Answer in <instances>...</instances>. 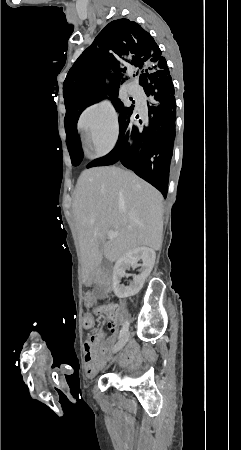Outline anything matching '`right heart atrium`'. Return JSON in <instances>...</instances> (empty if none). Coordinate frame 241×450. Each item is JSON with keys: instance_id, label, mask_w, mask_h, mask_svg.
Returning a JSON list of instances; mask_svg holds the SVG:
<instances>
[{"instance_id": "obj_1", "label": "right heart atrium", "mask_w": 241, "mask_h": 450, "mask_svg": "<svg viewBox=\"0 0 241 450\" xmlns=\"http://www.w3.org/2000/svg\"><path fill=\"white\" fill-rule=\"evenodd\" d=\"M85 127V142L88 153L93 157H102L113 149L119 124L114 109L109 105L98 104L91 107L81 118Z\"/></svg>"}]
</instances>
